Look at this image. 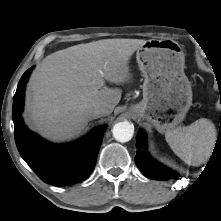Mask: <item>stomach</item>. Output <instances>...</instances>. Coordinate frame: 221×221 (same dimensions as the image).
<instances>
[{
  "label": "stomach",
  "instance_id": "stomach-1",
  "mask_svg": "<svg viewBox=\"0 0 221 221\" xmlns=\"http://www.w3.org/2000/svg\"><path fill=\"white\" fill-rule=\"evenodd\" d=\"M136 59L145 78L143 99L131 105L129 113L161 133L174 129L192 105L182 47L172 39H151L137 50Z\"/></svg>",
  "mask_w": 221,
  "mask_h": 221
}]
</instances>
